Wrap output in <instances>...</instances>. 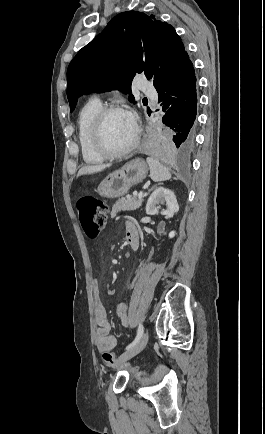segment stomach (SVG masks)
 I'll list each match as a JSON object with an SVG mask.
<instances>
[{"instance_id":"stomach-1","label":"stomach","mask_w":265,"mask_h":434,"mask_svg":"<svg viewBox=\"0 0 265 434\" xmlns=\"http://www.w3.org/2000/svg\"><path fill=\"white\" fill-rule=\"evenodd\" d=\"M148 174V166L142 158L127 162L121 170L109 174L98 186V194L102 198H121L128 190L142 182Z\"/></svg>"}]
</instances>
